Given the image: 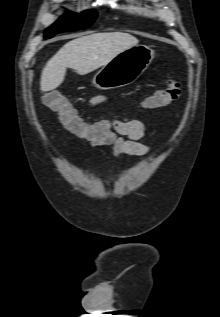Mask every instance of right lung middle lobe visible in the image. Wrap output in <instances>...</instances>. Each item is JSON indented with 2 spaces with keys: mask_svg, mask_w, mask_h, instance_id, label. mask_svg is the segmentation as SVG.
<instances>
[{
  "mask_svg": "<svg viewBox=\"0 0 220 317\" xmlns=\"http://www.w3.org/2000/svg\"><path fill=\"white\" fill-rule=\"evenodd\" d=\"M96 17L97 12L95 10L85 11L80 14L68 13L45 30V38H51L61 32L85 29L93 24Z\"/></svg>",
  "mask_w": 220,
  "mask_h": 317,
  "instance_id": "dd1d6c3e",
  "label": "right lung middle lobe"
}]
</instances>
